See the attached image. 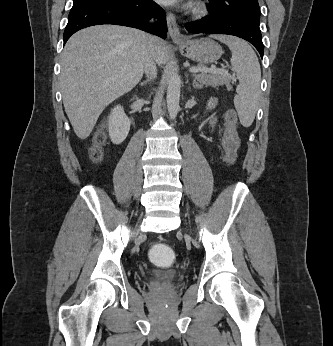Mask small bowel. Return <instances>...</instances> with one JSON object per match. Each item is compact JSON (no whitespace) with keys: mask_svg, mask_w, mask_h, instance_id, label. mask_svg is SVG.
<instances>
[{"mask_svg":"<svg viewBox=\"0 0 333 346\" xmlns=\"http://www.w3.org/2000/svg\"><path fill=\"white\" fill-rule=\"evenodd\" d=\"M216 105H217L216 98H211L207 105V111L208 112L212 111L216 107Z\"/></svg>","mask_w":333,"mask_h":346,"instance_id":"small-bowel-1","label":"small bowel"}]
</instances>
